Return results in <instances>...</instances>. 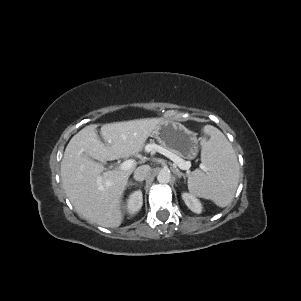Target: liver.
<instances>
[{
  "mask_svg": "<svg viewBox=\"0 0 301 301\" xmlns=\"http://www.w3.org/2000/svg\"><path fill=\"white\" fill-rule=\"evenodd\" d=\"M162 122V118H147L104 124L101 135L106 144L100 141L94 125L72 137L60 172L65 193L78 213L103 227L121 225L123 193L135 166L104 171L102 163L137 155Z\"/></svg>",
  "mask_w": 301,
  "mask_h": 301,
  "instance_id": "obj_1",
  "label": "liver"
}]
</instances>
